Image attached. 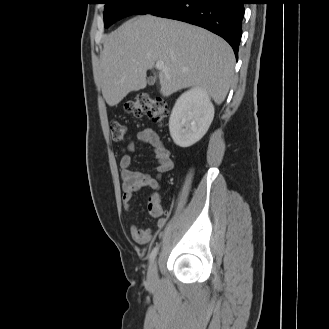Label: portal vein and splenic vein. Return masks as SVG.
Returning <instances> with one entry per match:
<instances>
[{"mask_svg":"<svg viewBox=\"0 0 329 329\" xmlns=\"http://www.w3.org/2000/svg\"><path fill=\"white\" fill-rule=\"evenodd\" d=\"M156 68L161 71H168L169 69L164 65L163 61H157L156 62Z\"/></svg>","mask_w":329,"mask_h":329,"instance_id":"1","label":"portal vein and splenic vein"}]
</instances>
